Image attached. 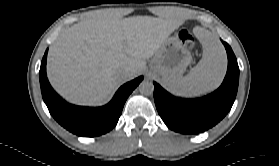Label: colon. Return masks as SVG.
<instances>
[{"label": "colon", "mask_w": 279, "mask_h": 166, "mask_svg": "<svg viewBox=\"0 0 279 166\" xmlns=\"http://www.w3.org/2000/svg\"><path fill=\"white\" fill-rule=\"evenodd\" d=\"M179 40L186 48H192L195 44V39L191 31L183 29L179 32Z\"/></svg>", "instance_id": "5ec220e1"}]
</instances>
